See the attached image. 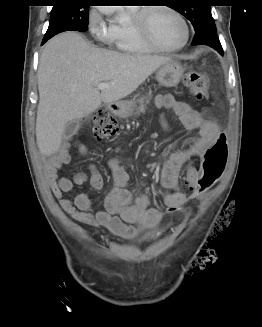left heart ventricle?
<instances>
[{
	"mask_svg": "<svg viewBox=\"0 0 262 327\" xmlns=\"http://www.w3.org/2000/svg\"><path fill=\"white\" fill-rule=\"evenodd\" d=\"M149 28L155 40L165 47H176L184 41L182 22L171 12L154 10L149 15Z\"/></svg>",
	"mask_w": 262,
	"mask_h": 327,
	"instance_id": "1",
	"label": "left heart ventricle"
}]
</instances>
